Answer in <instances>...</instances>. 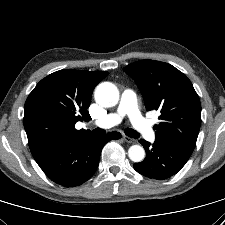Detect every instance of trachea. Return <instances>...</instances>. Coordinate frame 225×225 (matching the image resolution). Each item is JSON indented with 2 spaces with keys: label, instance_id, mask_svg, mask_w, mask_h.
Here are the masks:
<instances>
[{
  "label": "trachea",
  "instance_id": "3493384b",
  "mask_svg": "<svg viewBox=\"0 0 225 225\" xmlns=\"http://www.w3.org/2000/svg\"><path fill=\"white\" fill-rule=\"evenodd\" d=\"M94 132L98 133V134H105V130L104 129H100V128L94 129ZM125 134L127 136L131 137V138H139V134L135 130H133L131 128H127L125 130Z\"/></svg>",
  "mask_w": 225,
  "mask_h": 225
}]
</instances>
